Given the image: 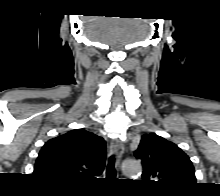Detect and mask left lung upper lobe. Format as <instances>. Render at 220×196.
Wrapping results in <instances>:
<instances>
[{
	"label": "left lung upper lobe",
	"mask_w": 220,
	"mask_h": 196,
	"mask_svg": "<svg viewBox=\"0 0 220 196\" xmlns=\"http://www.w3.org/2000/svg\"><path fill=\"white\" fill-rule=\"evenodd\" d=\"M134 155L142 161L143 181L160 192L180 193L196 183L189 157L177 145L155 133L142 136Z\"/></svg>",
	"instance_id": "5c2ea615"
}]
</instances>
